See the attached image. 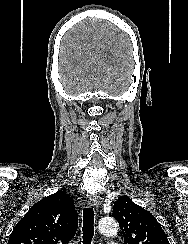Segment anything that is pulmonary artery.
<instances>
[{"label": "pulmonary artery", "instance_id": "1", "mask_svg": "<svg viewBox=\"0 0 188 244\" xmlns=\"http://www.w3.org/2000/svg\"><path fill=\"white\" fill-rule=\"evenodd\" d=\"M106 244H116L115 242H108V243H106Z\"/></svg>", "mask_w": 188, "mask_h": 244}]
</instances>
